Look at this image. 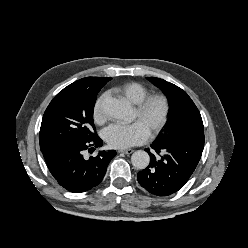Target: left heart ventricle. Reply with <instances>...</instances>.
<instances>
[{
	"instance_id": "b2bd125f",
	"label": "left heart ventricle",
	"mask_w": 248,
	"mask_h": 248,
	"mask_svg": "<svg viewBox=\"0 0 248 248\" xmlns=\"http://www.w3.org/2000/svg\"><path fill=\"white\" fill-rule=\"evenodd\" d=\"M161 112V105L155 102L151 105L148 113L144 117H139L137 111L135 112V118L141 120L149 130L150 125L157 120Z\"/></svg>"
}]
</instances>
